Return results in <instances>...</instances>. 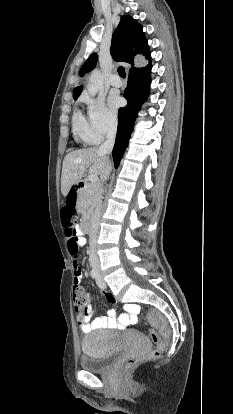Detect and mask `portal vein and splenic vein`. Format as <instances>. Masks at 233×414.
I'll list each match as a JSON object with an SVG mask.
<instances>
[{"label": "portal vein and splenic vein", "instance_id": "18ae733b", "mask_svg": "<svg viewBox=\"0 0 233 414\" xmlns=\"http://www.w3.org/2000/svg\"><path fill=\"white\" fill-rule=\"evenodd\" d=\"M80 161H76V163H79ZM88 180L91 182V183H96L97 182V180H98V177H97V175H94V174H89V176H88Z\"/></svg>", "mask_w": 233, "mask_h": 414}]
</instances>
